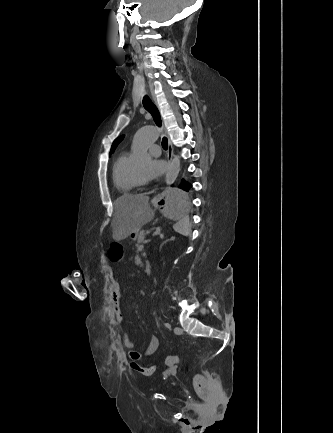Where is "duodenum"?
Here are the masks:
<instances>
[{"instance_id": "410a0bca", "label": "duodenum", "mask_w": 333, "mask_h": 433, "mask_svg": "<svg viewBox=\"0 0 333 433\" xmlns=\"http://www.w3.org/2000/svg\"><path fill=\"white\" fill-rule=\"evenodd\" d=\"M144 271L147 275H150L152 272V266L151 263L149 261L144 263Z\"/></svg>"}]
</instances>
